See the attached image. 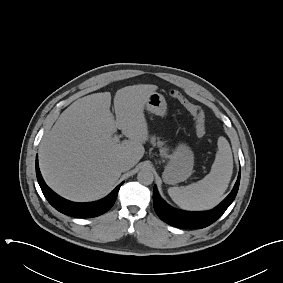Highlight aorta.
<instances>
[{
  "instance_id": "aorta-1",
  "label": "aorta",
  "mask_w": 283,
  "mask_h": 283,
  "mask_svg": "<svg viewBox=\"0 0 283 283\" xmlns=\"http://www.w3.org/2000/svg\"><path fill=\"white\" fill-rule=\"evenodd\" d=\"M137 179L141 184L150 185L154 181V175L148 168H143L139 171Z\"/></svg>"
}]
</instances>
